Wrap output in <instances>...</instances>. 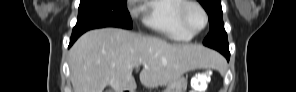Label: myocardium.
Returning <instances> with one entry per match:
<instances>
[{
	"label": "myocardium",
	"mask_w": 296,
	"mask_h": 92,
	"mask_svg": "<svg viewBox=\"0 0 296 92\" xmlns=\"http://www.w3.org/2000/svg\"><path fill=\"white\" fill-rule=\"evenodd\" d=\"M192 7L199 9L204 16L203 27L199 30H192L189 23H188V20H187V13H188L189 9ZM179 20H180L182 27L191 35H197V34L201 33L202 31H204L208 25V22H209L207 12L198 2H195V1H188L185 3V5L181 9V12L179 15Z\"/></svg>",
	"instance_id": "myocardium-1"
}]
</instances>
